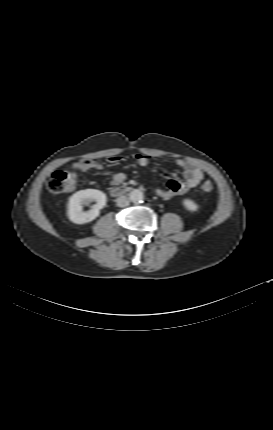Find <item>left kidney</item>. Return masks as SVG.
Masks as SVG:
<instances>
[{
	"label": "left kidney",
	"instance_id": "5707ae66",
	"mask_svg": "<svg viewBox=\"0 0 273 430\" xmlns=\"http://www.w3.org/2000/svg\"><path fill=\"white\" fill-rule=\"evenodd\" d=\"M183 205L188 211H197L199 209V206L197 203H195L191 199H184Z\"/></svg>",
	"mask_w": 273,
	"mask_h": 430
}]
</instances>
